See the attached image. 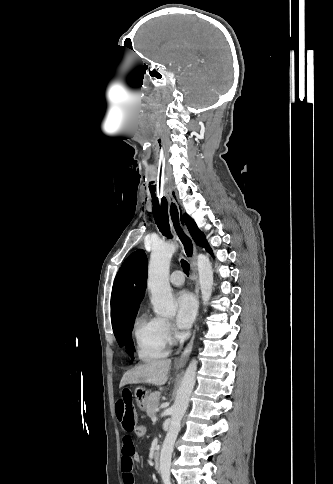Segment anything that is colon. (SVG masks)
<instances>
[{
	"mask_svg": "<svg viewBox=\"0 0 333 484\" xmlns=\"http://www.w3.org/2000/svg\"><path fill=\"white\" fill-rule=\"evenodd\" d=\"M148 433V427L145 424H137L134 429V436L137 439H143Z\"/></svg>",
	"mask_w": 333,
	"mask_h": 484,
	"instance_id": "colon-1",
	"label": "colon"
}]
</instances>
